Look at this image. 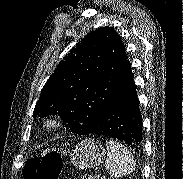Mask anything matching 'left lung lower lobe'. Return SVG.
I'll return each instance as SVG.
<instances>
[{
    "label": "left lung lower lobe",
    "instance_id": "obj_1",
    "mask_svg": "<svg viewBox=\"0 0 183 179\" xmlns=\"http://www.w3.org/2000/svg\"><path fill=\"white\" fill-rule=\"evenodd\" d=\"M90 134L117 139L136 151L141 147L142 118L127 56L122 64L111 105Z\"/></svg>",
    "mask_w": 183,
    "mask_h": 179
}]
</instances>
